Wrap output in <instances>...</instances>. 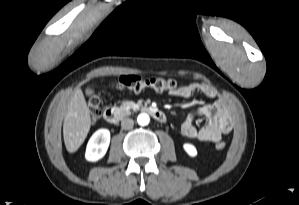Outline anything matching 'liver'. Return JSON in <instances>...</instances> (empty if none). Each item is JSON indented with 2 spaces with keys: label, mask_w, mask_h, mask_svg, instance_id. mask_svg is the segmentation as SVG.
Segmentation results:
<instances>
[{
  "label": "liver",
  "mask_w": 299,
  "mask_h": 205,
  "mask_svg": "<svg viewBox=\"0 0 299 205\" xmlns=\"http://www.w3.org/2000/svg\"><path fill=\"white\" fill-rule=\"evenodd\" d=\"M91 126V117L84 95L77 89L72 95L63 122L66 149L74 153L82 145Z\"/></svg>",
  "instance_id": "1"
}]
</instances>
